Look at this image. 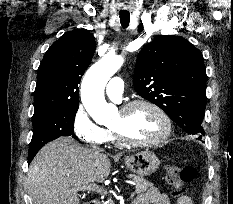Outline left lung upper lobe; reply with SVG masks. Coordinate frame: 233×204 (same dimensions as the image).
Returning a JSON list of instances; mask_svg holds the SVG:
<instances>
[{
	"instance_id": "1",
	"label": "left lung upper lobe",
	"mask_w": 233,
	"mask_h": 204,
	"mask_svg": "<svg viewBox=\"0 0 233 204\" xmlns=\"http://www.w3.org/2000/svg\"><path fill=\"white\" fill-rule=\"evenodd\" d=\"M206 69L200 50L180 36L157 35L139 52L133 85L186 133L201 140Z\"/></svg>"
}]
</instances>
